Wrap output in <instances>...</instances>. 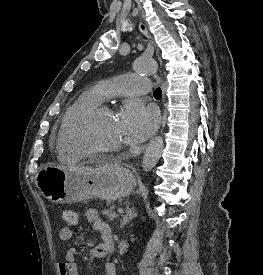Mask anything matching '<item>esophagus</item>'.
<instances>
[{
  "label": "esophagus",
  "instance_id": "34e87169",
  "mask_svg": "<svg viewBox=\"0 0 263 275\" xmlns=\"http://www.w3.org/2000/svg\"><path fill=\"white\" fill-rule=\"evenodd\" d=\"M139 30L141 31V33H143L146 37L150 38L151 39V36L146 28V26L143 24V23H140L139 24ZM161 85H162V99L164 101V98H165V89H166V83L165 81H162L161 82ZM161 123V122H160ZM160 127V126H159Z\"/></svg>",
  "mask_w": 263,
  "mask_h": 275
}]
</instances>
